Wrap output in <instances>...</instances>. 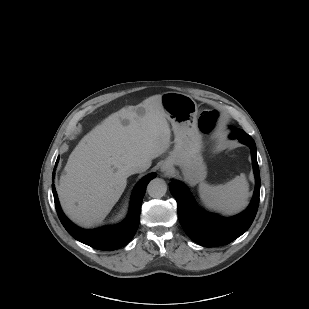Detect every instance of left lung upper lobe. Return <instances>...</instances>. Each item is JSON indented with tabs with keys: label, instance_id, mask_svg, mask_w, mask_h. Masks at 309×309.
<instances>
[{
	"label": "left lung upper lobe",
	"instance_id": "1",
	"mask_svg": "<svg viewBox=\"0 0 309 309\" xmlns=\"http://www.w3.org/2000/svg\"><path fill=\"white\" fill-rule=\"evenodd\" d=\"M235 133L244 134V135L247 134L242 129H237V128L232 130V134H235Z\"/></svg>",
	"mask_w": 309,
	"mask_h": 309
}]
</instances>
